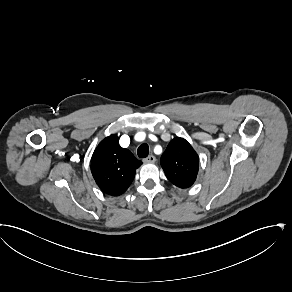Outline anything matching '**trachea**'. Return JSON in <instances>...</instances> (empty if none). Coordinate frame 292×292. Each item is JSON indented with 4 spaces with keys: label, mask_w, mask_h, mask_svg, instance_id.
Segmentation results:
<instances>
[{
    "label": "trachea",
    "mask_w": 292,
    "mask_h": 292,
    "mask_svg": "<svg viewBox=\"0 0 292 292\" xmlns=\"http://www.w3.org/2000/svg\"><path fill=\"white\" fill-rule=\"evenodd\" d=\"M149 154V147L147 144H141L137 149V155L140 158H146Z\"/></svg>",
    "instance_id": "3493384b"
}]
</instances>
